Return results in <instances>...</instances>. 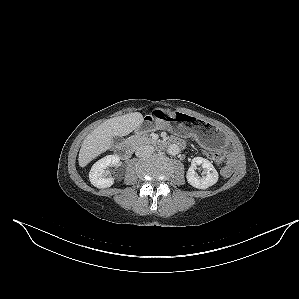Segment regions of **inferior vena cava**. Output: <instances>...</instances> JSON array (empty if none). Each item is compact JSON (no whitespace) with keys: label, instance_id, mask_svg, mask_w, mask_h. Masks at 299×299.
Returning a JSON list of instances; mask_svg holds the SVG:
<instances>
[{"label":"inferior vena cava","instance_id":"1","mask_svg":"<svg viewBox=\"0 0 299 299\" xmlns=\"http://www.w3.org/2000/svg\"><path fill=\"white\" fill-rule=\"evenodd\" d=\"M154 152V148L150 145H143L136 149L135 155L137 157H144Z\"/></svg>","mask_w":299,"mask_h":299}]
</instances>
